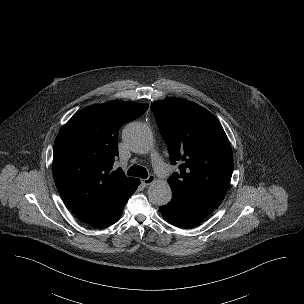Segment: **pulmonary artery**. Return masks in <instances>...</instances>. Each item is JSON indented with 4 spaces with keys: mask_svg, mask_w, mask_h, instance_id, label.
I'll return each mask as SVG.
<instances>
[{
    "mask_svg": "<svg viewBox=\"0 0 304 304\" xmlns=\"http://www.w3.org/2000/svg\"><path fill=\"white\" fill-rule=\"evenodd\" d=\"M154 167L157 173L161 176H166L170 173V168L167 166V164L159 157L155 156L154 158Z\"/></svg>",
    "mask_w": 304,
    "mask_h": 304,
    "instance_id": "pulmonary-artery-1",
    "label": "pulmonary artery"
}]
</instances>
